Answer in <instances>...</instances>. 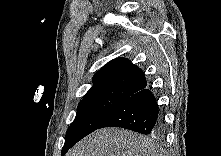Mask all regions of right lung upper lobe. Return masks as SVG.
Listing matches in <instances>:
<instances>
[{
    "instance_id": "right-lung-upper-lobe-1",
    "label": "right lung upper lobe",
    "mask_w": 221,
    "mask_h": 156,
    "mask_svg": "<svg viewBox=\"0 0 221 156\" xmlns=\"http://www.w3.org/2000/svg\"><path fill=\"white\" fill-rule=\"evenodd\" d=\"M93 86L84 95L128 99L147 86L142 70L126 58H116L104 65L92 78Z\"/></svg>"
}]
</instances>
